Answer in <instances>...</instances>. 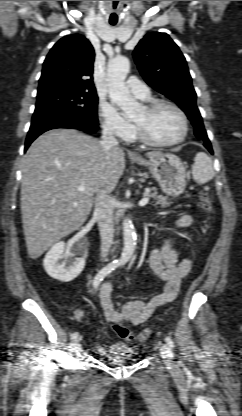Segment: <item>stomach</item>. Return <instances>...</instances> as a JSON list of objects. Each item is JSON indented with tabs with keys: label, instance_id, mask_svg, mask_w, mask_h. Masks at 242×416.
Instances as JSON below:
<instances>
[{
	"label": "stomach",
	"instance_id": "stomach-1",
	"mask_svg": "<svg viewBox=\"0 0 242 416\" xmlns=\"http://www.w3.org/2000/svg\"><path fill=\"white\" fill-rule=\"evenodd\" d=\"M134 161L150 170L162 191L167 195L177 197L184 192L186 168L178 156L167 153L154 159L135 158Z\"/></svg>",
	"mask_w": 242,
	"mask_h": 416
}]
</instances>
